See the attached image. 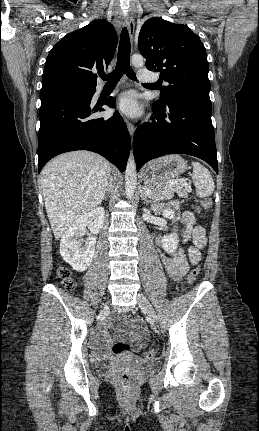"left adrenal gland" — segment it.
Returning <instances> with one entry per match:
<instances>
[{
    "mask_svg": "<svg viewBox=\"0 0 259 431\" xmlns=\"http://www.w3.org/2000/svg\"><path fill=\"white\" fill-rule=\"evenodd\" d=\"M141 199L145 201V203H151V200H149L144 192V190H141Z\"/></svg>",
    "mask_w": 259,
    "mask_h": 431,
    "instance_id": "1",
    "label": "left adrenal gland"
}]
</instances>
